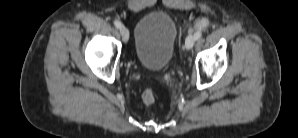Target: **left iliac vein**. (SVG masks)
Listing matches in <instances>:
<instances>
[{
    "label": "left iliac vein",
    "instance_id": "4c4485c4",
    "mask_svg": "<svg viewBox=\"0 0 298 138\" xmlns=\"http://www.w3.org/2000/svg\"><path fill=\"white\" fill-rule=\"evenodd\" d=\"M196 41V38L194 35H189L187 38H186V48L187 49H190L193 47L194 43Z\"/></svg>",
    "mask_w": 298,
    "mask_h": 138
}]
</instances>
